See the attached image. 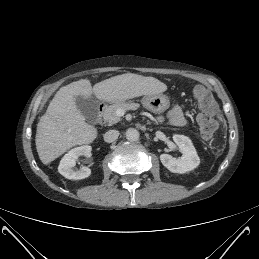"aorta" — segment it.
Here are the masks:
<instances>
[{
    "label": "aorta",
    "mask_w": 259,
    "mask_h": 259,
    "mask_svg": "<svg viewBox=\"0 0 259 259\" xmlns=\"http://www.w3.org/2000/svg\"><path fill=\"white\" fill-rule=\"evenodd\" d=\"M139 132L138 130L134 129V128H129L126 131V138L129 141H137L139 139Z\"/></svg>",
    "instance_id": "aorta-1"
}]
</instances>
